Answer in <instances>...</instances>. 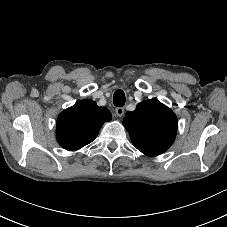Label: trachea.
Instances as JSON below:
<instances>
[{"label":"trachea","mask_w":227,"mask_h":227,"mask_svg":"<svg viewBox=\"0 0 227 227\" xmlns=\"http://www.w3.org/2000/svg\"><path fill=\"white\" fill-rule=\"evenodd\" d=\"M114 105L117 107H122L125 105V94L123 90L115 91L113 95Z\"/></svg>","instance_id":"obj_1"}]
</instances>
